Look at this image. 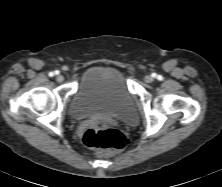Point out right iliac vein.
Here are the masks:
<instances>
[{
  "mask_svg": "<svg viewBox=\"0 0 222 187\" xmlns=\"http://www.w3.org/2000/svg\"><path fill=\"white\" fill-rule=\"evenodd\" d=\"M56 80H57L58 82H62V81L64 80L63 75L58 74V75L56 76Z\"/></svg>",
  "mask_w": 222,
  "mask_h": 187,
  "instance_id": "right-iliac-vein-1",
  "label": "right iliac vein"
}]
</instances>
